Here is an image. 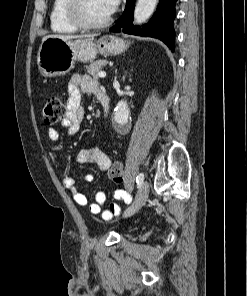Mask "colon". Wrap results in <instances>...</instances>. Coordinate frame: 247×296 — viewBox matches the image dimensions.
<instances>
[{
	"label": "colon",
	"mask_w": 247,
	"mask_h": 296,
	"mask_svg": "<svg viewBox=\"0 0 247 296\" xmlns=\"http://www.w3.org/2000/svg\"><path fill=\"white\" fill-rule=\"evenodd\" d=\"M43 120L46 124H55L66 116V107L59 97L51 96L43 107ZM109 177L115 183H121L124 178L123 163L115 160L110 169Z\"/></svg>",
	"instance_id": "colon-1"
}]
</instances>
